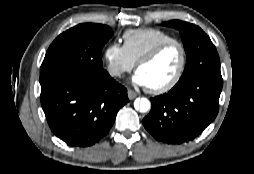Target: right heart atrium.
Masks as SVG:
<instances>
[{"mask_svg": "<svg viewBox=\"0 0 254 174\" xmlns=\"http://www.w3.org/2000/svg\"><path fill=\"white\" fill-rule=\"evenodd\" d=\"M103 58L107 72L115 78L130 72L135 66L124 46L117 42H111L105 47Z\"/></svg>", "mask_w": 254, "mask_h": 174, "instance_id": "1", "label": "right heart atrium"}]
</instances>
